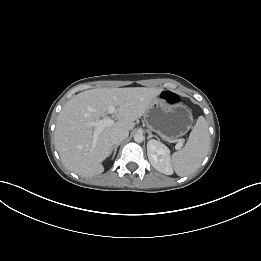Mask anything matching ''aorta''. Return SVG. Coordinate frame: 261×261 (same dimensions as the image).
I'll return each instance as SVG.
<instances>
[{
  "instance_id": "762f6f07",
  "label": "aorta",
  "mask_w": 261,
  "mask_h": 261,
  "mask_svg": "<svg viewBox=\"0 0 261 261\" xmlns=\"http://www.w3.org/2000/svg\"><path fill=\"white\" fill-rule=\"evenodd\" d=\"M144 140V136L142 133H136L134 135V141L137 143H141Z\"/></svg>"
}]
</instances>
